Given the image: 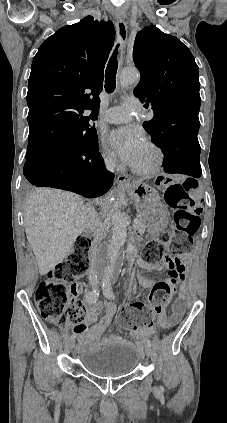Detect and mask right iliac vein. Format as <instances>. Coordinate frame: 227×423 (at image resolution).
I'll return each mask as SVG.
<instances>
[{"label":"right iliac vein","instance_id":"63e3f726","mask_svg":"<svg viewBox=\"0 0 227 423\" xmlns=\"http://www.w3.org/2000/svg\"><path fill=\"white\" fill-rule=\"evenodd\" d=\"M74 346H75V340L74 339H71L68 342V347L72 350L74 348Z\"/></svg>","mask_w":227,"mask_h":423}]
</instances>
